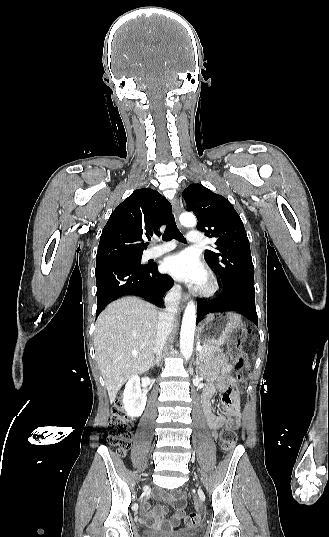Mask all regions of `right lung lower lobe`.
Returning <instances> with one entry per match:
<instances>
[{
  "label": "right lung lower lobe",
  "mask_w": 329,
  "mask_h": 537,
  "mask_svg": "<svg viewBox=\"0 0 329 537\" xmlns=\"http://www.w3.org/2000/svg\"><path fill=\"white\" fill-rule=\"evenodd\" d=\"M96 318L111 301L126 295L140 296L163 306L164 294L171 289L170 276L160 274L157 264L139 267L131 264L104 263L96 265Z\"/></svg>",
  "instance_id": "1"
}]
</instances>
